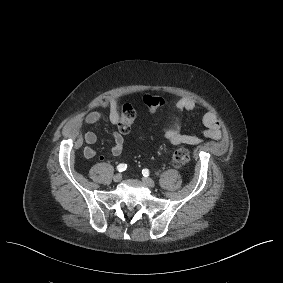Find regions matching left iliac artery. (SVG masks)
I'll list each match as a JSON object with an SVG mask.
<instances>
[{"label":"left iliac artery","mask_w":283,"mask_h":283,"mask_svg":"<svg viewBox=\"0 0 283 283\" xmlns=\"http://www.w3.org/2000/svg\"><path fill=\"white\" fill-rule=\"evenodd\" d=\"M142 174L144 177H148L149 176V170L148 169H143L142 170Z\"/></svg>","instance_id":"left-iliac-artery-1"}]
</instances>
